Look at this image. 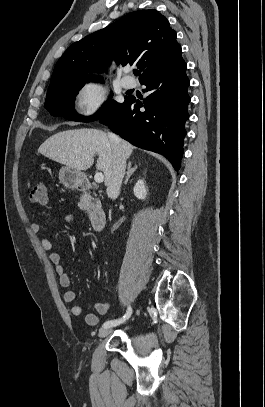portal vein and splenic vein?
<instances>
[{"mask_svg":"<svg viewBox=\"0 0 265 407\" xmlns=\"http://www.w3.org/2000/svg\"><path fill=\"white\" fill-rule=\"evenodd\" d=\"M94 180L96 183H101L104 180V175L102 172H97L94 176Z\"/></svg>","mask_w":265,"mask_h":407,"instance_id":"obj_1","label":"portal vein and splenic vein"}]
</instances>
